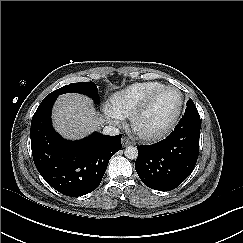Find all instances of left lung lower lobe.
<instances>
[{
  "instance_id": "0a47b994",
  "label": "left lung lower lobe",
  "mask_w": 243,
  "mask_h": 243,
  "mask_svg": "<svg viewBox=\"0 0 243 243\" xmlns=\"http://www.w3.org/2000/svg\"><path fill=\"white\" fill-rule=\"evenodd\" d=\"M200 128L198 111L188 110L166 139L137 146L135 169L147 187L170 191L191 174L199 153Z\"/></svg>"
}]
</instances>
